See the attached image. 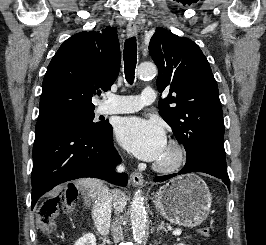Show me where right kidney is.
<instances>
[{"label": "right kidney", "mask_w": 266, "mask_h": 245, "mask_svg": "<svg viewBox=\"0 0 266 245\" xmlns=\"http://www.w3.org/2000/svg\"><path fill=\"white\" fill-rule=\"evenodd\" d=\"M75 245H96V237L93 233H87V235H83L78 241H75Z\"/></svg>", "instance_id": "obj_1"}]
</instances>
